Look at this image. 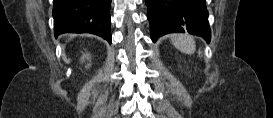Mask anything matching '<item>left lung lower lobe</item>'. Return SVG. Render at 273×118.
Returning a JSON list of instances; mask_svg holds the SVG:
<instances>
[{
    "instance_id": "0a47b994",
    "label": "left lung lower lobe",
    "mask_w": 273,
    "mask_h": 118,
    "mask_svg": "<svg viewBox=\"0 0 273 118\" xmlns=\"http://www.w3.org/2000/svg\"><path fill=\"white\" fill-rule=\"evenodd\" d=\"M151 39L169 33L188 32L211 38L205 0H146Z\"/></svg>"
}]
</instances>
